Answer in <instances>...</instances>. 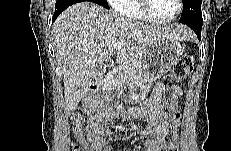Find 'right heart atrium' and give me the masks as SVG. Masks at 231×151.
I'll return each instance as SVG.
<instances>
[{
    "instance_id": "d8ad5b80",
    "label": "right heart atrium",
    "mask_w": 231,
    "mask_h": 151,
    "mask_svg": "<svg viewBox=\"0 0 231 151\" xmlns=\"http://www.w3.org/2000/svg\"><path fill=\"white\" fill-rule=\"evenodd\" d=\"M109 4L115 8L116 10L118 9L119 4L122 2L121 0H109Z\"/></svg>"
}]
</instances>
